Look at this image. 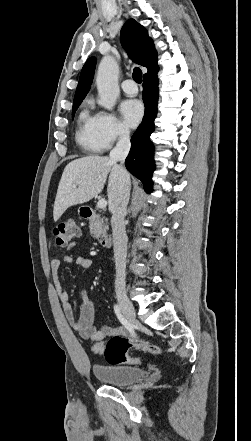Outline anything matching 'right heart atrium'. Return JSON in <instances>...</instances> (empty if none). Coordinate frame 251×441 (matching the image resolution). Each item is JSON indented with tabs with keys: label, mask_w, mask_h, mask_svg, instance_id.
<instances>
[{
	"label": "right heart atrium",
	"mask_w": 251,
	"mask_h": 441,
	"mask_svg": "<svg viewBox=\"0 0 251 441\" xmlns=\"http://www.w3.org/2000/svg\"><path fill=\"white\" fill-rule=\"evenodd\" d=\"M96 131L105 149L129 134L120 120L114 114L106 111H99L96 114Z\"/></svg>",
	"instance_id": "1"
}]
</instances>
